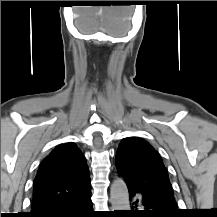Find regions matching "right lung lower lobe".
Returning <instances> with one entry per match:
<instances>
[{"instance_id": "right-lung-lower-lobe-1", "label": "right lung lower lobe", "mask_w": 217, "mask_h": 217, "mask_svg": "<svg viewBox=\"0 0 217 217\" xmlns=\"http://www.w3.org/2000/svg\"><path fill=\"white\" fill-rule=\"evenodd\" d=\"M29 217H94L91 192L75 200H66L52 208Z\"/></svg>"}]
</instances>
